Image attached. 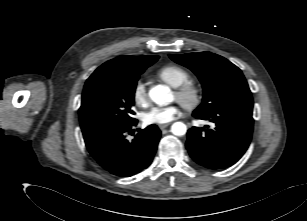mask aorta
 Listing matches in <instances>:
<instances>
[{"label": "aorta", "instance_id": "1", "mask_svg": "<svg viewBox=\"0 0 307 221\" xmlns=\"http://www.w3.org/2000/svg\"><path fill=\"white\" fill-rule=\"evenodd\" d=\"M149 97L159 106H164L172 101V94L169 87L165 85H157L149 90ZM187 127L182 122H175L171 126V132L176 136H182L186 133Z\"/></svg>", "mask_w": 307, "mask_h": 221}]
</instances>
